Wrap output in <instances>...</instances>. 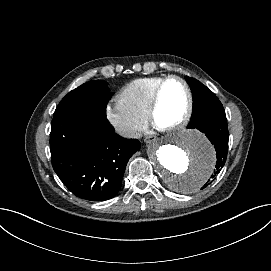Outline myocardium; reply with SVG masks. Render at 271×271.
<instances>
[{"label": "myocardium", "mask_w": 271, "mask_h": 271, "mask_svg": "<svg viewBox=\"0 0 271 271\" xmlns=\"http://www.w3.org/2000/svg\"><path fill=\"white\" fill-rule=\"evenodd\" d=\"M171 80H178L184 85L188 94V105L185 113L178 120H176L171 125L161 127L157 124V114L161 106V95L165 85ZM194 106H195L194 93L189 82L182 76L175 74L168 75L159 82V84L155 87L152 93L151 105L148 111V119L151 125L160 131L171 132L179 130L191 120L194 112Z\"/></svg>", "instance_id": "1"}]
</instances>
